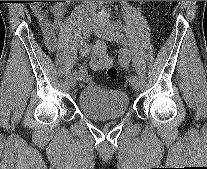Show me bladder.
Instances as JSON below:
<instances>
[{"instance_id":"obj_1","label":"bladder","mask_w":207,"mask_h":169,"mask_svg":"<svg viewBox=\"0 0 207 169\" xmlns=\"http://www.w3.org/2000/svg\"><path fill=\"white\" fill-rule=\"evenodd\" d=\"M79 110L96 121L118 120L129 110V98L119 89L87 85L78 96Z\"/></svg>"}]
</instances>
